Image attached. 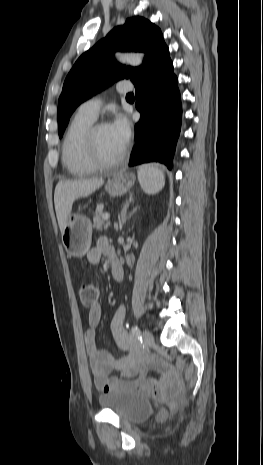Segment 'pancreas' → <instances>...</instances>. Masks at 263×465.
<instances>
[{
    "label": "pancreas",
    "instance_id": "pancreas-1",
    "mask_svg": "<svg viewBox=\"0 0 263 465\" xmlns=\"http://www.w3.org/2000/svg\"><path fill=\"white\" fill-rule=\"evenodd\" d=\"M103 213L101 210H96L94 218H93V227L102 230L107 229L110 226V222L103 219Z\"/></svg>",
    "mask_w": 263,
    "mask_h": 465
}]
</instances>
